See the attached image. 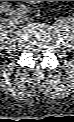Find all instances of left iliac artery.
Here are the masks:
<instances>
[{
    "label": "left iliac artery",
    "instance_id": "44dca946",
    "mask_svg": "<svg viewBox=\"0 0 74 122\" xmlns=\"http://www.w3.org/2000/svg\"><path fill=\"white\" fill-rule=\"evenodd\" d=\"M19 11H20V12H23V13H27V12H29V7H27V6H25V5H21V6L19 7Z\"/></svg>",
    "mask_w": 74,
    "mask_h": 122
}]
</instances>
